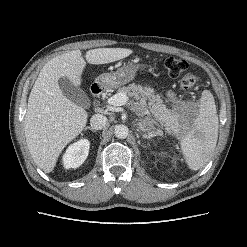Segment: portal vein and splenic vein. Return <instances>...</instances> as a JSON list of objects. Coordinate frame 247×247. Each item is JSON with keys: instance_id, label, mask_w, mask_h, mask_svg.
Instances as JSON below:
<instances>
[{"instance_id": "portal-vein-and-splenic-vein-1", "label": "portal vein and splenic vein", "mask_w": 247, "mask_h": 247, "mask_svg": "<svg viewBox=\"0 0 247 247\" xmlns=\"http://www.w3.org/2000/svg\"><path fill=\"white\" fill-rule=\"evenodd\" d=\"M128 97L125 93H117L107 100V104L111 106H122L127 103ZM147 114H150L146 111Z\"/></svg>"}]
</instances>
